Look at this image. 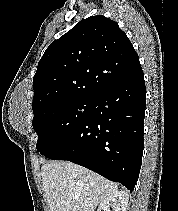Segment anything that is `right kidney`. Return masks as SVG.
I'll return each instance as SVG.
<instances>
[{
	"label": "right kidney",
	"mask_w": 178,
	"mask_h": 211,
	"mask_svg": "<svg viewBox=\"0 0 178 211\" xmlns=\"http://www.w3.org/2000/svg\"><path fill=\"white\" fill-rule=\"evenodd\" d=\"M129 196L125 191H117L99 204L98 211H126Z\"/></svg>",
	"instance_id": "obj_1"
}]
</instances>
